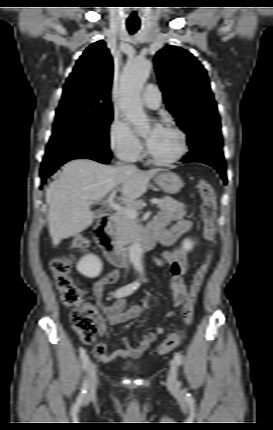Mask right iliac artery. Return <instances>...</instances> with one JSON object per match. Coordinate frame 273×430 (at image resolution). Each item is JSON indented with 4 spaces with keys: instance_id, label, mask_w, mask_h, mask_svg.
I'll return each mask as SVG.
<instances>
[{
    "instance_id": "obj_1",
    "label": "right iliac artery",
    "mask_w": 273,
    "mask_h": 430,
    "mask_svg": "<svg viewBox=\"0 0 273 430\" xmlns=\"http://www.w3.org/2000/svg\"><path fill=\"white\" fill-rule=\"evenodd\" d=\"M139 285H140L139 281L136 280L126 286H123L118 290H116V292L114 293V297L122 298V297L128 296L132 294L139 287ZM79 350H80V357L82 360L83 368L86 370L88 366V355L84 348L80 347ZM86 392H87V380H84L80 398H82Z\"/></svg>"
}]
</instances>
